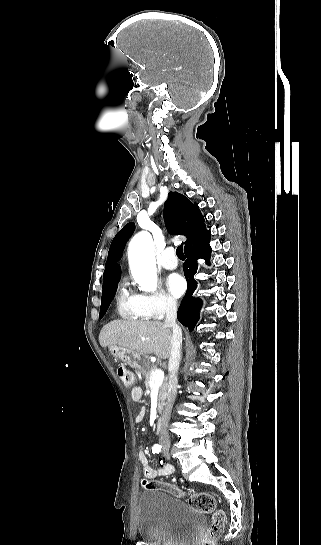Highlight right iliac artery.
I'll list each match as a JSON object with an SVG mask.
<instances>
[{"mask_svg": "<svg viewBox=\"0 0 321 545\" xmlns=\"http://www.w3.org/2000/svg\"><path fill=\"white\" fill-rule=\"evenodd\" d=\"M161 451V446L158 445V444H155L153 447H152V452L155 454V453H159Z\"/></svg>", "mask_w": 321, "mask_h": 545, "instance_id": "82829eb1", "label": "right iliac artery"}]
</instances>
